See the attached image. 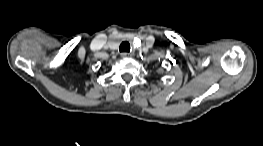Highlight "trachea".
I'll list each match as a JSON object with an SVG mask.
<instances>
[{"mask_svg": "<svg viewBox=\"0 0 263 146\" xmlns=\"http://www.w3.org/2000/svg\"><path fill=\"white\" fill-rule=\"evenodd\" d=\"M120 52H130V44L127 41H124L120 44Z\"/></svg>", "mask_w": 263, "mask_h": 146, "instance_id": "3493384b", "label": "trachea"}]
</instances>
